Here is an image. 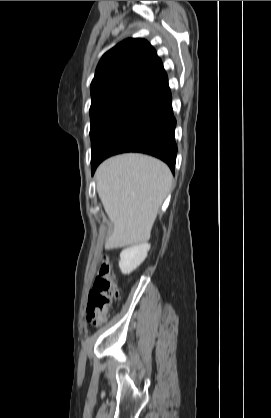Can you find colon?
I'll use <instances>...</instances> for the list:
<instances>
[{
  "instance_id": "5ec220e1",
  "label": "colon",
  "mask_w": 271,
  "mask_h": 418,
  "mask_svg": "<svg viewBox=\"0 0 271 418\" xmlns=\"http://www.w3.org/2000/svg\"><path fill=\"white\" fill-rule=\"evenodd\" d=\"M118 297V289L109 261L104 258L89 293L87 320L100 325L107 319L109 311Z\"/></svg>"
}]
</instances>
